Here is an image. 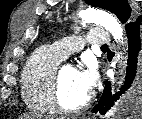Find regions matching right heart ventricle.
Here are the masks:
<instances>
[{
	"instance_id": "obj_1",
	"label": "right heart ventricle",
	"mask_w": 142,
	"mask_h": 119,
	"mask_svg": "<svg viewBox=\"0 0 142 119\" xmlns=\"http://www.w3.org/2000/svg\"><path fill=\"white\" fill-rule=\"evenodd\" d=\"M62 58L50 46L37 48L26 62L21 74V94L24 103L33 111H54L50 89L53 76Z\"/></svg>"
}]
</instances>
